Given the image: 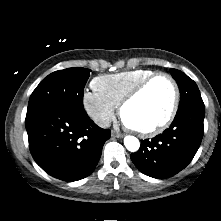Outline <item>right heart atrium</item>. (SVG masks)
I'll return each instance as SVG.
<instances>
[{"label":"right heart atrium","mask_w":221,"mask_h":221,"mask_svg":"<svg viewBox=\"0 0 221 221\" xmlns=\"http://www.w3.org/2000/svg\"><path fill=\"white\" fill-rule=\"evenodd\" d=\"M83 106L92 120L101 127L107 126L114 119L116 106L96 91L84 93Z\"/></svg>","instance_id":"right-heart-atrium-1"}]
</instances>
